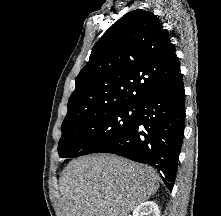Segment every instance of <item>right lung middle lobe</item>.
Masks as SVG:
<instances>
[{"label": "right lung middle lobe", "instance_id": "1", "mask_svg": "<svg viewBox=\"0 0 221 216\" xmlns=\"http://www.w3.org/2000/svg\"><path fill=\"white\" fill-rule=\"evenodd\" d=\"M136 118L137 106H117L93 112L75 123L62 124L60 158L100 152L124 134Z\"/></svg>", "mask_w": 221, "mask_h": 216}]
</instances>
